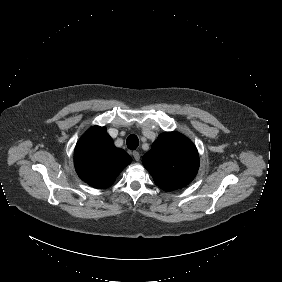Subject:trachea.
<instances>
[{"label":"trachea","instance_id":"obj_1","mask_svg":"<svg viewBox=\"0 0 282 282\" xmlns=\"http://www.w3.org/2000/svg\"><path fill=\"white\" fill-rule=\"evenodd\" d=\"M128 149L135 150L139 145V138L135 134H131L126 139Z\"/></svg>","mask_w":282,"mask_h":282}]
</instances>
